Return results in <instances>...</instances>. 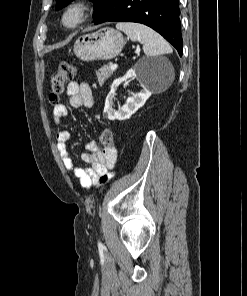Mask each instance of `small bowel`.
<instances>
[{"instance_id":"1","label":"small bowel","mask_w":247,"mask_h":296,"mask_svg":"<svg viewBox=\"0 0 247 296\" xmlns=\"http://www.w3.org/2000/svg\"><path fill=\"white\" fill-rule=\"evenodd\" d=\"M71 107H91L93 96L90 87L84 82L71 81L66 90ZM53 121L56 125L63 118L69 117L66 105H55L52 111ZM70 139V132L66 129H59L57 132V150L62 162L71 178L78 179L83 188L94 187L100 182L102 176L111 174L108 170L113 168L116 159L115 148L101 149L96 141H91L86 145V151L82 154V159L88 167H78L75 165L69 154L67 144Z\"/></svg>"}]
</instances>
